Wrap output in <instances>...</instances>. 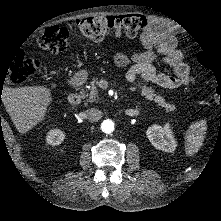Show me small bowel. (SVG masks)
Wrapping results in <instances>:
<instances>
[{
  "instance_id": "c3829d8e",
  "label": "small bowel",
  "mask_w": 221,
  "mask_h": 221,
  "mask_svg": "<svg viewBox=\"0 0 221 221\" xmlns=\"http://www.w3.org/2000/svg\"><path fill=\"white\" fill-rule=\"evenodd\" d=\"M144 51L132 55L118 52L113 56L119 67L130 66L126 79L137 84L138 79L153 83L163 88L176 89L190 85L196 77L190 74V67L184 62L183 53L177 48V38L170 25L156 19H149V26L140 35ZM161 55L162 61L174 70V76L157 73L153 62Z\"/></svg>"
}]
</instances>
